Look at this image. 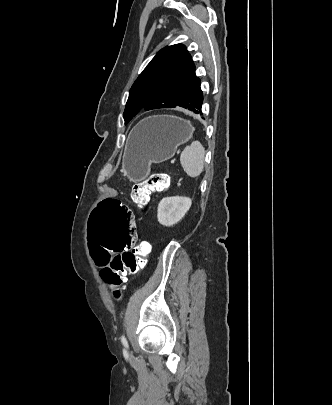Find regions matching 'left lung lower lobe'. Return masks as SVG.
Listing matches in <instances>:
<instances>
[{
	"instance_id": "1",
	"label": "left lung lower lobe",
	"mask_w": 332,
	"mask_h": 405,
	"mask_svg": "<svg viewBox=\"0 0 332 405\" xmlns=\"http://www.w3.org/2000/svg\"><path fill=\"white\" fill-rule=\"evenodd\" d=\"M203 103V94L202 91L200 92V100L198 102V105L194 107V109H190L191 112L199 114L201 110V105Z\"/></svg>"
}]
</instances>
